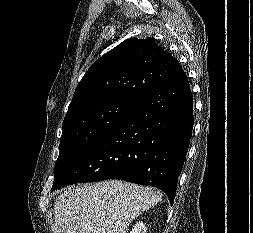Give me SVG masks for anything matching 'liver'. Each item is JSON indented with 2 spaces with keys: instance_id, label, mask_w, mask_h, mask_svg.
<instances>
[{
  "instance_id": "1",
  "label": "liver",
  "mask_w": 253,
  "mask_h": 233,
  "mask_svg": "<svg viewBox=\"0 0 253 233\" xmlns=\"http://www.w3.org/2000/svg\"><path fill=\"white\" fill-rule=\"evenodd\" d=\"M162 199L159 190L119 180L68 188L54 203L55 233H126Z\"/></svg>"
}]
</instances>
